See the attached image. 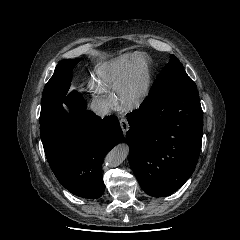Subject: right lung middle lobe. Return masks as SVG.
Here are the masks:
<instances>
[{"mask_svg":"<svg viewBox=\"0 0 240 240\" xmlns=\"http://www.w3.org/2000/svg\"><path fill=\"white\" fill-rule=\"evenodd\" d=\"M81 60V58L62 60L54 70L53 76L46 83L41 102L40 123H43L52 115L62 104H70V96L77 92L72 91L68 94L72 69Z\"/></svg>","mask_w":240,"mask_h":240,"instance_id":"right-lung-middle-lobe-1","label":"right lung middle lobe"}]
</instances>
